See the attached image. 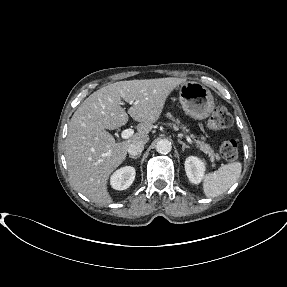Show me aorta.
I'll return each instance as SVG.
<instances>
[{"label": "aorta", "mask_w": 287, "mask_h": 287, "mask_svg": "<svg viewBox=\"0 0 287 287\" xmlns=\"http://www.w3.org/2000/svg\"><path fill=\"white\" fill-rule=\"evenodd\" d=\"M171 149V142L167 139H161L156 143V151L160 154H168Z\"/></svg>", "instance_id": "obj_1"}]
</instances>
